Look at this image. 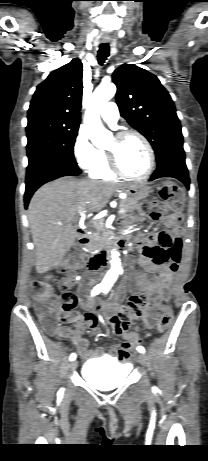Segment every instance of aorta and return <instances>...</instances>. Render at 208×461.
Returning a JSON list of instances; mask_svg holds the SVG:
<instances>
[{"mask_svg": "<svg viewBox=\"0 0 208 461\" xmlns=\"http://www.w3.org/2000/svg\"><path fill=\"white\" fill-rule=\"evenodd\" d=\"M116 86L113 83L100 84L93 92L84 119L86 134L99 149L108 145L110 133L104 128L100 119L102 107L114 97ZM111 268L105 276V280L114 282L121 270V259L117 249L111 250Z\"/></svg>", "mask_w": 208, "mask_h": 461, "instance_id": "aorta-1", "label": "aorta"}]
</instances>
